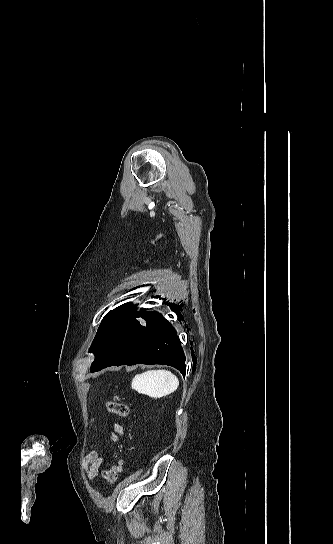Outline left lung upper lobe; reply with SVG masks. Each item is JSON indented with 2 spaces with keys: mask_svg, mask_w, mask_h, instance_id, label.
I'll use <instances>...</instances> for the list:
<instances>
[{
  "mask_svg": "<svg viewBox=\"0 0 333 544\" xmlns=\"http://www.w3.org/2000/svg\"><path fill=\"white\" fill-rule=\"evenodd\" d=\"M129 318L132 319L137 325H140L137 319L145 320L146 327H151L155 325L158 321H160L163 317L160 313L155 311L148 312L145 310H141L137 312L136 307L131 306L129 303L123 304L115 308L114 310H111L110 312H108L106 316L104 317V319L102 320L99 331L90 348V351L93 352L95 355V360L91 365V369L100 365L105 356L104 351L102 350L100 346V340L102 337V330L104 325L107 324L111 320H122V319H129Z\"/></svg>",
  "mask_w": 333,
  "mask_h": 544,
  "instance_id": "1",
  "label": "left lung upper lobe"
}]
</instances>
